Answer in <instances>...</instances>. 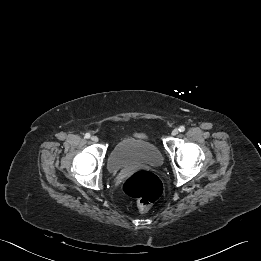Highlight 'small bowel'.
Masks as SVG:
<instances>
[{
  "instance_id": "1",
  "label": "small bowel",
  "mask_w": 261,
  "mask_h": 261,
  "mask_svg": "<svg viewBox=\"0 0 261 261\" xmlns=\"http://www.w3.org/2000/svg\"><path fill=\"white\" fill-rule=\"evenodd\" d=\"M136 136L141 137V138H145V135L144 134H140V133H137Z\"/></svg>"
}]
</instances>
